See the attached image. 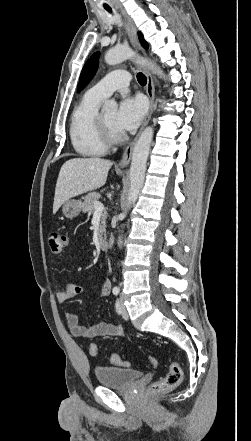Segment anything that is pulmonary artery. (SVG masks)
<instances>
[{
  "label": "pulmonary artery",
  "instance_id": "e3ab8cb5",
  "mask_svg": "<svg viewBox=\"0 0 251 441\" xmlns=\"http://www.w3.org/2000/svg\"><path fill=\"white\" fill-rule=\"evenodd\" d=\"M131 77L125 70H115L98 81L91 89L98 95L106 98L116 90L128 87Z\"/></svg>",
  "mask_w": 251,
  "mask_h": 441
}]
</instances>
